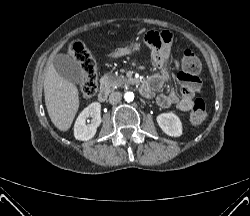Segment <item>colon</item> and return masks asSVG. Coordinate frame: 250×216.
Instances as JSON below:
<instances>
[{
    "label": "colon",
    "instance_id": "colon-1",
    "mask_svg": "<svg viewBox=\"0 0 250 216\" xmlns=\"http://www.w3.org/2000/svg\"><path fill=\"white\" fill-rule=\"evenodd\" d=\"M69 52L80 65L84 74V81L80 87L81 95L84 99H90L95 95L97 90V67L95 59L85 45L79 42L72 44ZM181 67L185 76L195 77L201 70V62L191 49H186L182 55ZM206 119L207 110L205 102L202 99H196L190 112V121L194 125H201Z\"/></svg>",
    "mask_w": 250,
    "mask_h": 216
}]
</instances>
